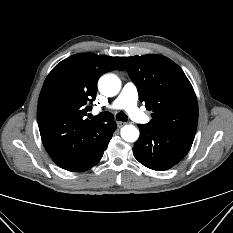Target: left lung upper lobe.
Here are the masks:
<instances>
[{
  "mask_svg": "<svg viewBox=\"0 0 233 233\" xmlns=\"http://www.w3.org/2000/svg\"><path fill=\"white\" fill-rule=\"evenodd\" d=\"M140 101L153 110L148 126L194 136L198 123L195 92L182 69L161 55L122 57Z\"/></svg>",
  "mask_w": 233,
  "mask_h": 233,
  "instance_id": "left-lung-upper-lobe-1",
  "label": "left lung upper lobe"
}]
</instances>
